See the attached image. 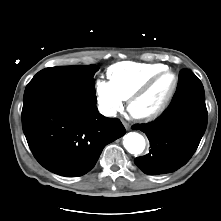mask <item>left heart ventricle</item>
I'll use <instances>...</instances> for the list:
<instances>
[{
    "label": "left heart ventricle",
    "instance_id": "left-heart-ventricle-1",
    "mask_svg": "<svg viewBox=\"0 0 221 221\" xmlns=\"http://www.w3.org/2000/svg\"><path fill=\"white\" fill-rule=\"evenodd\" d=\"M173 84V76L167 74L134 105V112L145 114L156 110L166 98Z\"/></svg>",
    "mask_w": 221,
    "mask_h": 221
}]
</instances>
